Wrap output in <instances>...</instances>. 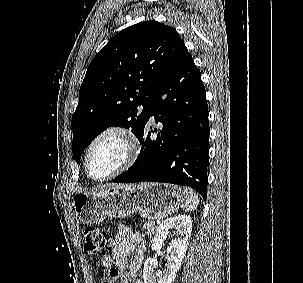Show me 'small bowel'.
Segmentation results:
<instances>
[{
    "mask_svg": "<svg viewBox=\"0 0 303 283\" xmlns=\"http://www.w3.org/2000/svg\"><path fill=\"white\" fill-rule=\"evenodd\" d=\"M146 249V243L138 232L122 227L116 234L111 252L103 254L100 263L104 268L115 266L120 283H130V278L133 283H142L141 279L137 278V273L144 260ZM132 253L134 257L126 272L127 259Z\"/></svg>",
    "mask_w": 303,
    "mask_h": 283,
    "instance_id": "c3829d8e",
    "label": "small bowel"
}]
</instances>
